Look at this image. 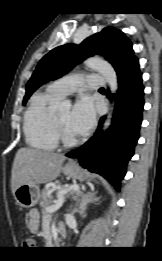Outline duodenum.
Listing matches in <instances>:
<instances>
[{
  "mask_svg": "<svg viewBox=\"0 0 162 261\" xmlns=\"http://www.w3.org/2000/svg\"><path fill=\"white\" fill-rule=\"evenodd\" d=\"M66 236V230L63 227H60L58 230V237L63 238Z\"/></svg>",
  "mask_w": 162,
  "mask_h": 261,
  "instance_id": "1",
  "label": "duodenum"
}]
</instances>
